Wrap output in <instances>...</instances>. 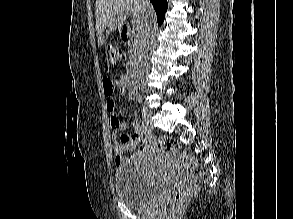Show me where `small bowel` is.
<instances>
[{"mask_svg": "<svg viewBox=\"0 0 293 219\" xmlns=\"http://www.w3.org/2000/svg\"><path fill=\"white\" fill-rule=\"evenodd\" d=\"M126 87L125 76L121 77L117 81H111L108 78L103 80L104 94L106 97V106L110 114V125L113 131L116 133L122 131L129 126L133 128L132 134L123 133L119 136L115 135L114 138V151H115V163L117 166L130 164L136 162L144 153L147 146L149 145V139L145 131L136 123L131 122L130 124L121 122L115 114V102L113 94L115 89H124ZM127 98L129 100L139 101V95L133 91H127ZM141 144L140 148L137 145ZM126 152H132L126 156Z\"/></svg>", "mask_w": 293, "mask_h": 219, "instance_id": "c3829d8e", "label": "small bowel"}]
</instances>
